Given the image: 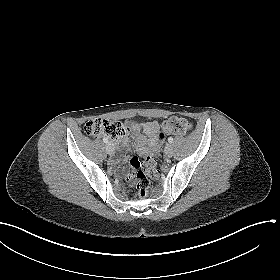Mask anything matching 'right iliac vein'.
<instances>
[{
    "instance_id": "obj_1",
    "label": "right iliac vein",
    "mask_w": 280,
    "mask_h": 280,
    "mask_svg": "<svg viewBox=\"0 0 280 280\" xmlns=\"http://www.w3.org/2000/svg\"><path fill=\"white\" fill-rule=\"evenodd\" d=\"M106 151L110 155L114 154V145L111 142L107 143Z\"/></svg>"
}]
</instances>
